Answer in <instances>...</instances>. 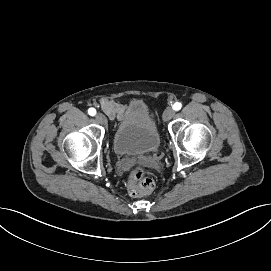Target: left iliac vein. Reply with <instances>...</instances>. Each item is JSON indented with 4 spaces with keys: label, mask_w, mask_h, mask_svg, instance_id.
I'll list each match as a JSON object with an SVG mask.
<instances>
[{
    "label": "left iliac vein",
    "mask_w": 271,
    "mask_h": 271,
    "mask_svg": "<svg viewBox=\"0 0 271 271\" xmlns=\"http://www.w3.org/2000/svg\"><path fill=\"white\" fill-rule=\"evenodd\" d=\"M175 115V110L172 107H167L163 113V120L169 121Z\"/></svg>",
    "instance_id": "left-iliac-vein-1"
}]
</instances>
